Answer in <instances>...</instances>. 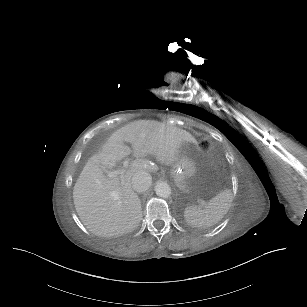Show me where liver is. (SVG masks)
I'll return each mask as SVG.
<instances>
[{
    "mask_svg": "<svg viewBox=\"0 0 307 307\" xmlns=\"http://www.w3.org/2000/svg\"><path fill=\"white\" fill-rule=\"evenodd\" d=\"M125 143L132 144L136 160L123 175L108 177L105 171L132 153ZM185 143L197 141L186 130L154 120L135 121L114 132L102 153L89 158L74 186L75 209L86 228L105 237L134 230L142 220V209L132 177L153 172L147 156L165 166L175 165Z\"/></svg>",
    "mask_w": 307,
    "mask_h": 307,
    "instance_id": "obj_1",
    "label": "liver"
}]
</instances>
